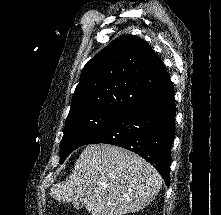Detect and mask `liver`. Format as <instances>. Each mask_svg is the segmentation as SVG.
Masks as SVG:
<instances>
[{
    "mask_svg": "<svg viewBox=\"0 0 221 215\" xmlns=\"http://www.w3.org/2000/svg\"><path fill=\"white\" fill-rule=\"evenodd\" d=\"M161 185L159 172L139 155L110 144H90L50 195L66 203L83 198L92 215H124L149 205Z\"/></svg>",
    "mask_w": 221,
    "mask_h": 215,
    "instance_id": "obj_1",
    "label": "liver"
}]
</instances>
